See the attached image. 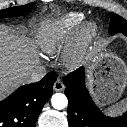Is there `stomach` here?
<instances>
[{"instance_id":"stomach-1","label":"stomach","mask_w":127,"mask_h":127,"mask_svg":"<svg viewBox=\"0 0 127 127\" xmlns=\"http://www.w3.org/2000/svg\"><path fill=\"white\" fill-rule=\"evenodd\" d=\"M88 79L96 99L102 104L111 103L127 86V65L114 54L96 47L89 55Z\"/></svg>"}]
</instances>
